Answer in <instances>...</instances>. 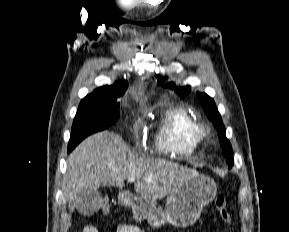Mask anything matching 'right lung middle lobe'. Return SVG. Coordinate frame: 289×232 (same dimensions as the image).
I'll return each instance as SVG.
<instances>
[{
	"label": "right lung middle lobe",
	"mask_w": 289,
	"mask_h": 232,
	"mask_svg": "<svg viewBox=\"0 0 289 232\" xmlns=\"http://www.w3.org/2000/svg\"><path fill=\"white\" fill-rule=\"evenodd\" d=\"M120 103L117 99L85 98L74 118L68 152L92 133L107 129L119 119Z\"/></svg>",
	"instance_id": "dd1d6c3e"
}]
</instances>
